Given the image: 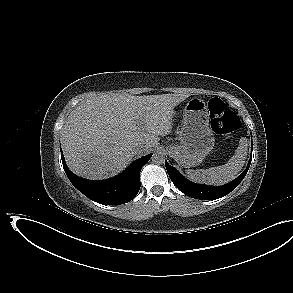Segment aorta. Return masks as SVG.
I'll return each instance as SVG.
<instances>
[{"instance_id": "1", "label": "aorta", "mask_w": 293, "mask_h": 293, "mask_svg": "<svg viewBox=\"0 0 293 293\" xmlns=\"http://www.w3.org/2000/svg\"><path fill=\"white\" fill-rule=\"evenodd\" d=\"M152 162L155 164H162L165 161V155L161 151H156L152 155Z\"/></svg>"}]
</instances>
